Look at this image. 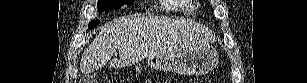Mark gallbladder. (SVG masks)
Segmentation results:
<instances>
[{
	"mask_svg": "<svg viewBox=\"0 0 307 83\" xmlns=\"http://www.w3.org/2000/svg\"><path fill=\"white\" fill-rule=\"evenodd\" d=\"M93 79H91V78H89L88 80H87V82H90V81H92Z\"/></svg>",
	"mask_w": 307,
	"mask_h": 83,
	"instance_id": "bac80fb5",
	"label": "gallbladder"
}]
</instances>
